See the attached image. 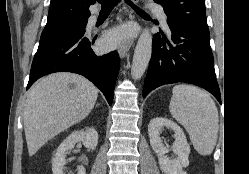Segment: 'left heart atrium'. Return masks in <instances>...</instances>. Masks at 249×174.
Listing matches in <instances>:
<instances>
[{
    "label": "left heart atrium",
    "mask_w": 249,
    "mask_h": 174,
    "mask_svg": "<svg viewBox=\"0 0 249 174\" xmlns=\"http://www.w3.org/2000/svg\"><path fill=\"white\" fill-rule=\"evenodd\" d=\"M120 35H121V31H116V32L109 34L107 37V43L108 44L116 43L117 40L119 39Z\"/></svg>",
    "instance_id": "obj_1"
}]
</instances>
